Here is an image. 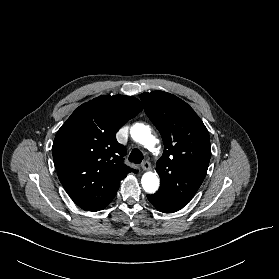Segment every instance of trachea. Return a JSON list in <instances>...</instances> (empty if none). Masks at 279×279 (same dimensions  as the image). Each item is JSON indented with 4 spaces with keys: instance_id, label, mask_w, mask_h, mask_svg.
<instances>
[{
    "instance_id": "obj_1",
    "label": "trachea",
    "mask_w": 279,
    "mask_h": 279,
    "mask_svg": "<svg viewBox=\"0 0 279 279\" xmlns=\"http://www.w3.org/2000/svg\"><path fill=\"white\" fill-rule=\"evenodd\" d=\"M129 160L135 164H140L143 160V154L139 150L134 149L130 153Z\"/></svg>"
}]
</instances>
